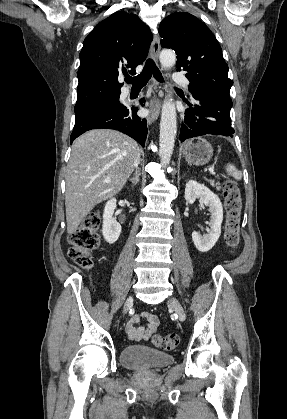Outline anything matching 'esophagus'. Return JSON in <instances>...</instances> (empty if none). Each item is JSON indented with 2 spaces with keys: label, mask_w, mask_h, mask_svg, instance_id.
Masks as SVG:
<instances>
[{
  "label": "esophagus",
  "mask_w": 287,
  "mask_h": 419,
  "mask_svg": "<svg viewBox=\"0 0 287 419\" xmlns=\"http://www.w3.org/2000/svg\"><path fill=\"white\" fill-rule=\"evenodd\" d=\"M160 53V39L157 35L154 36L151 44V57L158 62V57ZM152 97L149 102V114L147 116L148 124H152L156 121L160 114L161 101L163 97V91L161 85L154 78H152Z\"/></svg>",
  "instance_id": "esophagus-1"
}]
</instances>
